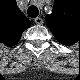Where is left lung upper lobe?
Segmentation results:
<instances>
[{"label":"left lung upper lobe","instance_id":"1","mask_svg":"<svg viewBox=\"0 0 80 80\" xmlns=\"http://www.w3.org/2000/svg\"><path fill=\"white\" fill-rule=\"evenodd\" d=\"M70 2L56 0L53 13L46 17V23L54 36L63 44H72L76 41L75 31L80 28L70 11Z\"/></svg>","mask_w":80,"mask_h":80}]
</instances>
